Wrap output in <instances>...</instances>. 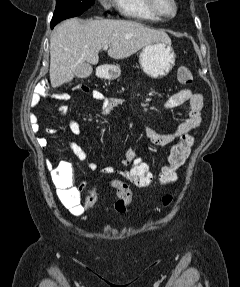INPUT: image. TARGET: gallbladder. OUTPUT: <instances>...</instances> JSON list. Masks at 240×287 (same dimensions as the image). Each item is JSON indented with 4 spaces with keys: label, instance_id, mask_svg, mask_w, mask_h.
<instances>
[{
    "label": "gallbladder",
    "instance_id": "obj_1",
    "mask_svg": "<svg viewBox=\"0 0 240 287\" xmlns=\"http://www.w3.org/2000/svg\"><path fill=\"white\" fill-rule=\"evenodd\" d=\"M91 73H92L91 65H89L88 63H84L83 65L77 68L75 76L77 78L83 79L89 77Z\"/></svg>",
    "mask_w": 240,
    "mask_h": 287
}]
</instances>
